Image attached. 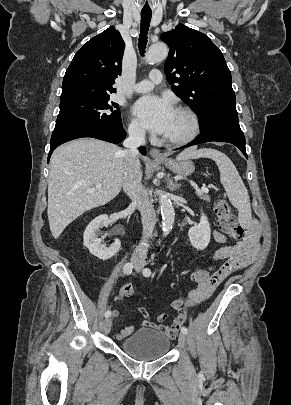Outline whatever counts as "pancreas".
Instances as JSON below:
<instances>
[{
  "mask_svg": "<svg viewBox=\"0 0 291 405\" xmlns=\"http://www.w3.org/2000/svg\"><path fill=\"white\" fill-rule=\"evenodd\" d=\"M198 195V197L201 199V200H204V201H206V202H210L211 201V198L207 195V194H201V193H199V194H197Z\"/></svg>",
  "mask_w": 291,
  "mask_h": 405,
  "instance_id": "cf45deb5",
  "label": "pancreas"
}]
</instances>
